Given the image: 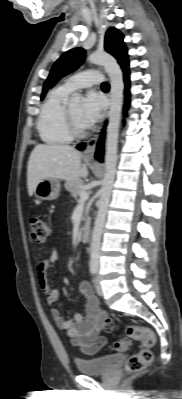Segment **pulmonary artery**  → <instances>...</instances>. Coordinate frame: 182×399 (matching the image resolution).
Segmentation results:
<instances>
[{"label": "pulmonary artery", "mask_w": 182, "mask_h": 399, "mask_svg": "<svg viewBox=\"0 0 182 399\" xmlns=\"http://www.w3.org/2000/svg\"><path fill=\"white\" fill-rule=\"evenodd\" d=\"M103 81V75L98 70H86L67 78L61 85L65 90L72 92L77 89L88 88Z\"/></svg>", "instance_id": "pulmonary-artery-1"}]
</instances>
